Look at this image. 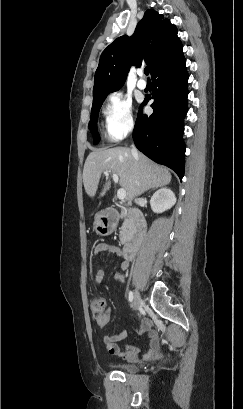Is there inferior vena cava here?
<instances>
[{
	"label": "inferior vena cava",
	"mask_w": 243,
	"mask_h": 409,
	"mask_svg": "<svg viewBox=\"0 0 243 409\" xmlns=\"http://www.w3.org/2000/svg\"><path fill=\"white\" fill-rule=\"evenodd\" d=\"M132 153H133L134 155H137V149L135 148L134 145H132ZM138 202H139V199H135V203H138Z\"/></svg>",
	"instance_id": "1"
}]
</instances>
